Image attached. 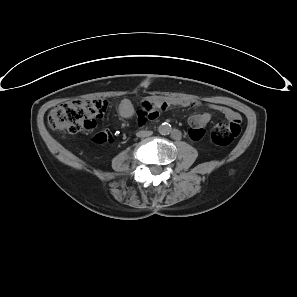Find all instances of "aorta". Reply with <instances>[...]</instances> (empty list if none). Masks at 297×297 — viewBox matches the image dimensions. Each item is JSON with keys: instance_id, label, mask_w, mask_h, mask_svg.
Listing matches in <instances>:
<instances>
[{"instance_id": "762f6f07", "label": "aorta", "mask_w": 297, "mask_h": 297, "mask_svg": "<svg viewBox=\"0 0 297 297\" xmlns=\"http://www.w3.org/2000/svg\"><path fill=\"white\" fill-rule=\"evenodd\" d=\"M158 132L162 135H167L171 132V125L169 123H162L158 127Z\"/></svg>"}]
</instances>
